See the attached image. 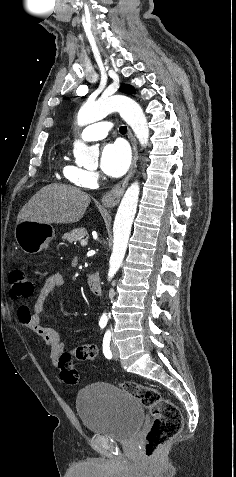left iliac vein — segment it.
Returning a JSON list of instances; mask_svg holds the SVG:
<instances>
[{"label":"left iliac vein","instance_id":"obj_1","mask_svg":"<svg viewBox=\"0 0 236 477\" xmlns=\"http://www.w3.org/2000/svg\"><path fill=\"white\" fill-rule=\"evenodd\" d=\"M111 350H112L113 357L117 360L119 358V350L117 345L114 342L111 343Z\"/></svg>","mask_w":236,"mask_h":477}]
</instances>
